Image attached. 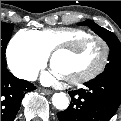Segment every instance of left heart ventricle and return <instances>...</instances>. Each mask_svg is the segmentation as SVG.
<instances>
[{
    "mask_svg": "<svg viewBox=\"0 0 121 121\" xmlns=\"http://www.w3.org/2000/svg\"><path fill=\"white\" fill-rule=\"evenodd\" d=\"M103 48L96 40L86 42L82 49L73 55L59 53L53 59L52 67L63 78L83 75L99 65Z\"/></svg>",
    "mask_w": 121,
    "mask_h": 121,
    "instance_id": "1",
    "label": "left heart ventricle"
}]
</instances>
